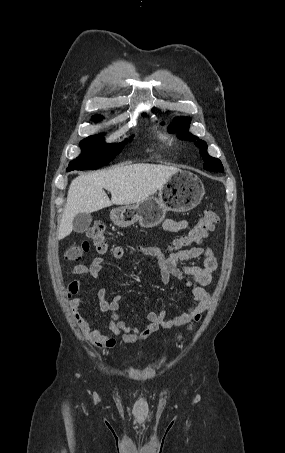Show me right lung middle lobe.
<instances>
[{
  "instance_id": "1",
  "label": "right lung middle lobe",
  "mask_w": 285,
  "mask_h": 453,
  "mask_svg": "<svg viewBox=\"0 0 285 453\" xmlns=\"http://www.w3.org/2000/svg\"><path fill=\"white\" fill-rule=\"evenodd\" d=\"M93 120H100V117H93ZM82 154L76 160L70 162L68 171L97 169L106 165L123 148V143L105 144L101 136H89L80 142Z\"/></svg>"
}]
</instances>
